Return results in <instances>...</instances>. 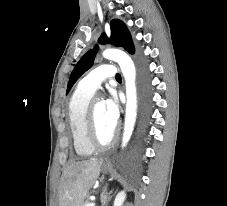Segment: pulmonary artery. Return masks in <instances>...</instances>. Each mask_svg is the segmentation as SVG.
<instances>
[{
	"label": "pulmonary artery",
	"mask_w": 227,
	"mask_h": 206,
	"mask_svg": "<svg viewBox=\"0 0 227 206\" xmlns=\"http://www.w3.org/2000/svg\"><path fill=\"white\" fill-rule=\"evenodd\" d=\"M116 74L117 69L115 66L109 64L101 65L84 76L80 80L78 87L95 92L105 80L114 78Z\"/></svg>",
	"instance_id": "e3ab8cb5"
}]
</instances>
